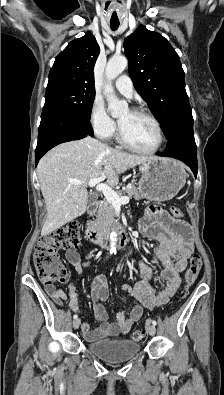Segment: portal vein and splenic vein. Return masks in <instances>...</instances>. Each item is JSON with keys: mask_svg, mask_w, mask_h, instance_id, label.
<instances>
[{"mask_svg": "<svg viewBox=\"0 0 224 395\" xmlns=\"http://www.w3.org/2000/svg\"><path fill=\"white\" fill-rule=\"evenodd\" d=\"M106 176L102 175L98 178L91 179L88 182V185L90 187L96 186V190L99 192H102L105 199L113 206L115 207H120L122 204H127L129 203V197L123 196L120 197L110 186L107 184L101 183L103 180H105ZM73 185H84L83 182L77 181V180H70L69 181Z\"/></svg>", "mask_w": 224, "mask_h": 395, "instance_id": "portal-vein-and-splenic-vein-1", "label": "portal vein and splenic vein"}]
</instances>
